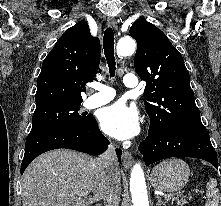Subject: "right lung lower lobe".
<instances>
[{
  "label": "right lung lower lobe",
  "instance_id": "right-lung-lower-lobe-1",
  "mask_svg": "<svg viewBox=\"0 0 221 206\" xmlns=\"http://www.w3.org/2000/svg\"><path fill=\"white\" fill-rule=\"evenodd\" d=\"M109 141L100 132L96 119L81 126H52L32 130L26 140L21 174L38 155L58 148L73 149L91 155H99L108 147ZM118 160L121 151L116 150Z\"/></svg>",
  "mask_w": 221,
  "mask_h": 206
}]
</instances>
